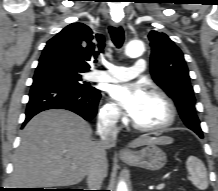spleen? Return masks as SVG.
<instances>
[{"label":"spleen","instance_id":"obj_1","mask_svg":"<svg viewBox=\"0 0 218 191\" xmlns=\"http://www.w3.org/2000/svg\"><path fill=\"white\" fill-rule=\"evenodd\" d=\"M186 167L190 174L192 184L199 190L207 189V172L203 162L195 156H190L186 161Z\"/></svg>","mask_w":218,"mask_h":191}]
</instances>
